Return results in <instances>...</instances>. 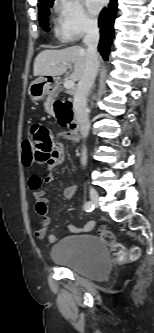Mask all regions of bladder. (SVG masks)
Returning a JSON list of instances; mask_svg holds the SVG:
<instances>
[{"instance_id":"obj_1","label":"bladder","mask_w":154,"mask_h":333,"mask_svg":"<svg viewBox=\"0 0 154 333\" xmlns=\"http://www.w3.org/2000/svg\"><path fill=\"white\" fill-rule=\"evenodd\" d=\"M49 256L54 263L92 279H104L110 272L107 245L92 233L61 238L52 246Z\"/></svg>"}]
</instances>
